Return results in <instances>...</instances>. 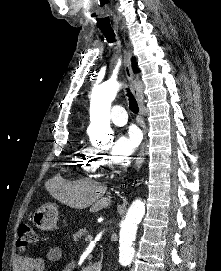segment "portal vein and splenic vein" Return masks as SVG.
<instances>
[{"label": "portal vein and splenic vein", "instance_id": "portal-vein-and-splenic-vein-1", "mask_svg": "<svg viewBox=\"0 0 221 271\" xmlns=\"http://www.w3.org/2000/svg\"><path fill=\"white\" fill-rule=\"evenodd\" d=\"M85 240H86V242H91L92 234H85Z\"/></svg>", "mask_w": 221, "mask_h": 271}]
</instances>
